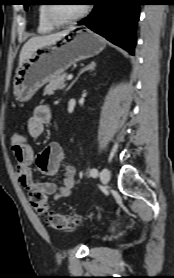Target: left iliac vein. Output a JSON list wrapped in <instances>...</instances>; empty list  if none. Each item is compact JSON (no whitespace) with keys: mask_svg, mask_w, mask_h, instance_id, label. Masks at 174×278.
Instances as JSON below:
<instances>
[{"mask_svg":"<svg viewBox=\"0 0 174 278\" xmlns=\"http://www.w3.org/2000/svg\"><path fill=\"white\" fill-rule=\"evenodd\" d=\"M100 179L102 183L107 184L110 180V171L107 168L102 169L100 172Z\"/></svg>","mask_w":174,"mask_h":278,"instance_id":"obj_1","label":"left iliac vein"}]
</instances>
